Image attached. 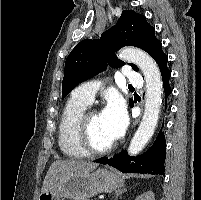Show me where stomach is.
<instances>
[{"label": "stomach", "instance_id": "1", "mask_svg": "<svg viewBox=\"0 0 201 200\" xmlns=\"http://www.w3.org/2000/svg\"><path fill=\"white\" fill-rule=\"evenodd\" d=\"M123 185L118 173L107 169L75 174L51 190L41 193L38 200H87L102 192H112Z\"/></svg>", "mask_w": 201, "mask_h": 200}]
</instances>
